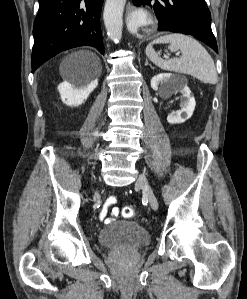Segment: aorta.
<instances>
[{
  "label": "aorta",
  "instance_id": "762f6f07",
  "mask_svg": "<svg viewBox=\"0 0 247 299\" xmlns=\"http://www.w3.org/2000/svg\"><path fill=\"white\" fill-rule=\"evenodd\" d=\"M126 0H106L104 7V24L108 37L119 42L122 37L123 11Z\"/></svg>",
  "mask_w": 247,
  "mask_h": 299
}]
</instances>
